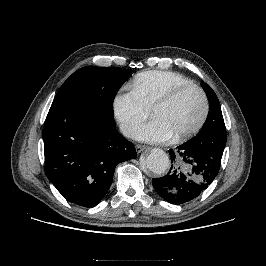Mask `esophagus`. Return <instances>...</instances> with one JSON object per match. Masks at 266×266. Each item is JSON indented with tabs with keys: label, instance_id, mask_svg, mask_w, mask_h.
I'll use <instances>...</instances> for the list:
<instances>
[{
	"label": "esophagus",
	"instance_id": "34e87169",
	"mask_svg": "<svg viewBox=\"0 0 266 266\" xmlns=\"http://www.w3.org/2000/svg\"><path fill=\"white\" fill-rule=\"evenodd\" d=\"M136 152L137 153H141L146 149H149V147L145 146V145H136L135 146Z\"/></svg>",
	"mask_w": 266,
	"mask_h": 266
}]
</instances>
